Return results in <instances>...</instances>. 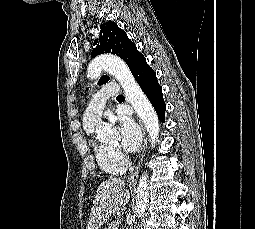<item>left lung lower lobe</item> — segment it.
Wrapping results in <instances>:
<instances>
[{"mask_svg": "<svg viewBox=\"0 0 255 229\" xmlns=\"http://www.w3.org/2000/svg\"><path fill=\"white\" fill-rule=\"evenodd\" d=\"M132 74L149 101L152 103L159 119L164 122L166 105L162 96V88L158 83L156 73L147 64L144 56L140 58L133 69Z\"/></svg>", "mask_w": 255, "mask_h": 229, "instance_id": "0a47b994", "label": "left lung lower lobe"}]
</instances>
